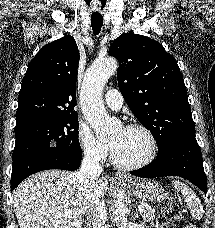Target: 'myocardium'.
<instances>
[{"mask_svg": "<svg viewBox=\"0 0 215 228\" xmlns=\"http://www.w3.org/2000/svg\"><path fill=\"white\" fill-rule=\"evenodd\" d=\"M124 129H126V130L139 129V130H141L147 138L148 151H147L146 155L137 162L121 163L115 159L113 152L111 150L110 151V159H111L112 164L116 168H118L120 170H125V171L136 170V169H139V168H142V167L148 165L155 158L156 153H157V141H156V138H155L152 130L148 126L141 124V123H130Z\"/></svg>", "mask_w": 215, "mask_h": 228, "instance_id": "1", "label": "myocardium"}]
</instances>
